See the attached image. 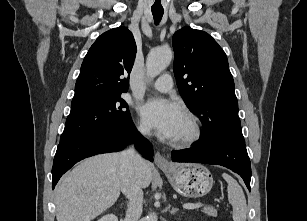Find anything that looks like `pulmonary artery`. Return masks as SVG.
<instances>
[{"label": "pulmonary artery", "mask_w": 307, "mask_h": 221, "mask_svg": "<svg viewBox=\"0 0 307 221\" xmlns=\"http://www.w3.org/2000/svg\"><path fill=\"white\" fill-rule=\"evenodd\" d=\"M173 87L172 77L169 74L162 75L153 84V88L160 92H170Z\"/></svg>", "instance_id": "pulmonary-artery-1"}]
</instances>
